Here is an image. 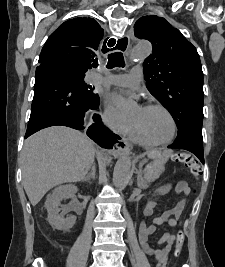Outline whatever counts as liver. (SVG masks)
Wrapping results in <instances>:
<instances>
[{"instance_id": "6515ba94", "label": "liver", "mask_w": 225, "mask_h": 267, "mask_svg": "<svg viewBox=\"0 0 225 267\" xmlns=\"http://www.w3.org/2000/svg\"><path fill=\"white\" fill-rule=\"evenodd\" d=\"M96 148L85 134L64 126L37 132L24 142L22 182L32 206L53 187L85 179Z\"/></svg>"}]
</instances>
